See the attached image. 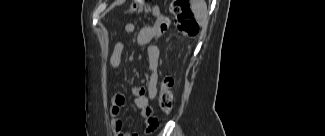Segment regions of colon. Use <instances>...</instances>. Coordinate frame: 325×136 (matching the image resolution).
I'll use <instances>...</instances> for the list:
<instances>
[{
    "label": "colon",
    "mask_w": 325,
    "mask_h": 136,
    "mask_svg": "<svg viewBox=\"0 0 325 136\" xmlns=\"http://www.w3.org/2000/svg\"><path fill=\"white\" fill-rule=\"evenodd\" d=\"M144 8V0H134L129 11L130 14L139 13ZM171 12L175 15V24L178 31L184 36H192L198 32L199 26L193 16L189 0H172ZM173 80L165 77L161 81L158 94L160 109L168 113L173 108L174 96L172 92Z\"/></svg>",
    "instance_id": "colon-1"
}]
</instances>
